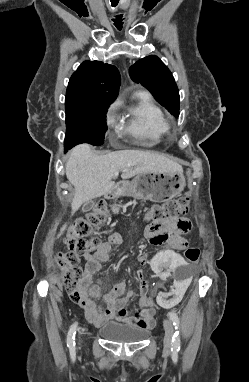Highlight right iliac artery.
I'll return each mask as SVG.
<instances>
[{
	"label": "right iliac artery",
	"mask_w": 249,
	"mask_h": 382,
	"mask_svg": "<svg viewBox=\"0 0 249 382\" xmlns=\"http://www.w3.org/2000/svg\"><path fill=\"white\" fill-rule=\"evenodd\" d=\"M76 327H77V322L74 323L68 332L67 336V346L70 348H73L75 346V334H76Z\"/></svg>",
	"instance_id": "obj_1"
}]
</instances>
